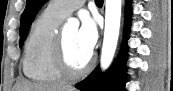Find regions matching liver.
Wrapping results in <instances>:
<instances>
[{"label":"liver","mask_w":173,"mask_h":91,"mask_svg":"<svg viewBox=\"0 0 173 91\" xmlns=\"http://www.w3.org/2000/svg\"><path fill=\"white\" fill-rule=\"evenodd\" d=\"M13 91H76L71 86L47 85L31 83L26 80L18 81L13 87Z\"/></svg>","instance_id":"6515ba94"}]
</instances>
